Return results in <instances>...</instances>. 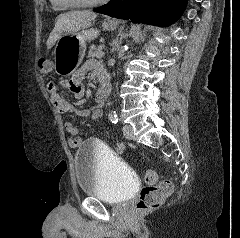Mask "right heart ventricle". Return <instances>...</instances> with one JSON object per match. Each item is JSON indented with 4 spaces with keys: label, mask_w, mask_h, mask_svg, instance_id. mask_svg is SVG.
Wrapping results in <instances>:
<instances>
[{
    "label": "right heart ventricle",
    "mask_w": 240,
    "mask_h": 238,
    "mask_svg": "<svg viewBox=\"0 0 240 238\" xmlns=\"http://www.w3.org/2000/svg\"><path fill=\"white\" fill-rule=\"evenodd\" d=\"M51 3L55 6H67V7H72L67 4L66 0H50Z\"/></svg>",
    "instance_id": "right-heart-ventricle-1"
}]
</instances>
